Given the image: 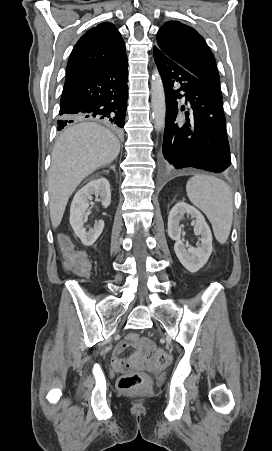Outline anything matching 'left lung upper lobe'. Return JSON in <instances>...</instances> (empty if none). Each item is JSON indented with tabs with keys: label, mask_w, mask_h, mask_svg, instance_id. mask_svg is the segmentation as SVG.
<instances>
[{
	"label": "left lung upper lobe",
	"mask_w": 272,
	"mask_h": 451,
	"mask_svg": "<svg viewBox=\"0 0 272 451\" xmlns=\"http://www.w3.org/2000/svg\"><path fill=\"white\" fill-rule=\"evenodd\" d=\"M157 47L222 97L214 56L195 29L168 21L157 33Z\"/></svg>",
	"instance_id": "1"
}]
</instances>
